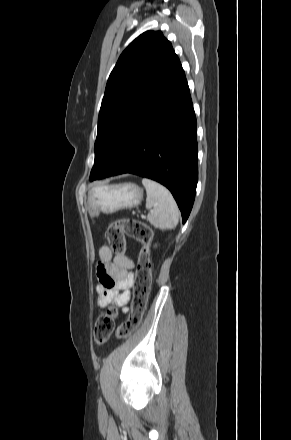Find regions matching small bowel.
I'll return each instance as SVG.
<instances>
[{
  "label": "small bowel",
  "mask_w": 291,
  "mask_h": 440,
  "mask_svg": "<svg viewBox=\"0 0 291 440\" xmlns=\"http://www.w3.org/2000/svg\"><path fill=\"white\" fill-rule=\"evenodd\" d=\"M99 259L97 276L104 290L100 289L98 304L105 306L113 303L116 307H122L123 311H127V303L131 298V287L134 283L131 272L134 261L125 255H113L110 248L105 245L99 249ZM109 281H113V287L108 286Z\"/></svg>",
  "instance_id": "c3829d8e"
}]
</instances>
